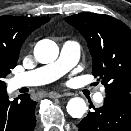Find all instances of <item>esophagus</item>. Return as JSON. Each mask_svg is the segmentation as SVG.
<instances>
[{
  "instance_id": "34e87169",
  "label": "esophagus",
  "mask_w": 131,
  "mask_h": 131,
  "mask_svg": "<svg viewBox=\"0 0 131 131\" xmlns=\"http://www.w3.org/2000/svg\"><path fill=\"white\" fill-rule=\"evenodd\" d=\"M48 96L50 98H60V97H63V96H70V93H56V92H52V93H49Z\"/></svg>"
}]
</instances>
